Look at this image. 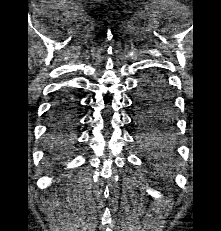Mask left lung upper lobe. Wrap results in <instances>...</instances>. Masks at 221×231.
<instances>
[{"label":"left lung upper lobe","instance_id":"5c2ea615","mask_svg":"<svg viewBox=\"0 0 221 231\" xmlns=\"http://www.w3.org/2000/svg\"><path fill=\"white\" fill-rule=\"evenodd\" d=\"M161 81L166 87L165 82L158 75L152 74ZM155 98L160 102L156 106H150V99ZM171 97L163 87L148 90L141 89L136 98V121L144 128L141 134V140L146 141L148 138L158 134V131L167 130L168 123L171 121Z\"/></svg>","mask_w":221,"mask_h":231}]
</instances>
